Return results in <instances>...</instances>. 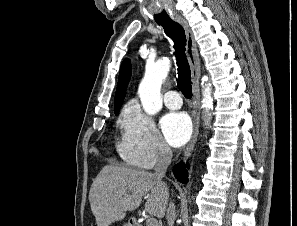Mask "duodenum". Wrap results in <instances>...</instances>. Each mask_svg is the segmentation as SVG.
<instances>
[{"instance_id": "obj_1", "label": "duodenum", "mask_w": 297, "mask_h": 226, "mask_svg": "<svg viewBox=\"0 0 297 226\" xmlns=\"http://www.w3.org/2000/svg\"><path fill=\"white\" fill-rule=\"evenodd\" d=\"M129 226H143L141 223L135 220H130L129 221Z\"/></svg>"}]
</instances>
